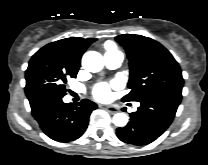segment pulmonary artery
<instances>
[{
	"label": "pulmonary artery",
	"instance_id": "1",
	"mask_svg": "<svg viewBox=\"0 0 208 165\" xmlns=\"http://www.w3.org/2000/svg\"><path fill=\"white\" fill-rule=\"evenodd\" d=\"M123 61V55L121 52H107L104 55V62L106 66L110 69L118 68ZM138 107V104L135 105Z\"/></svg>",
	"mask_w": 208,
	"mask_h": 165
}]
</instances>
